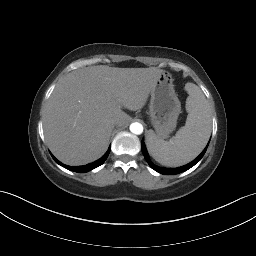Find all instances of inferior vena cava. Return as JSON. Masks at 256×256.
<instances>
[{
  "mask_svg": "<svg viewBox=\"0 0 256 256\" xmlns=\"http://www.w3.org/2000/svg\"><path fill=\"white\" fill-rule=\"evenodd\" d=\"M120 124H121V119L119 117H113L111 119V126L113 128H118L120 126Z\"/></svg>",
  "mask_w": 256,
  "mask_h": 256,
  "instance_id": "obj_1",
  "label": "inferior vena cava"
}]
</instances>
